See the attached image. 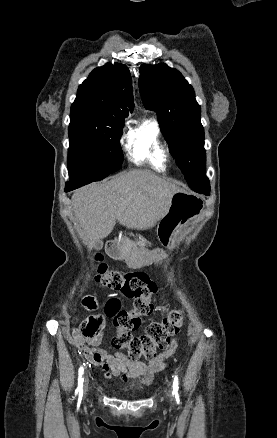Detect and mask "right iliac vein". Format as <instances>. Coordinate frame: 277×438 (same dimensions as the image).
<instances>
[{
    "label": "right iliac vein",
    "instance_id": "1",
    "mask_svg": "<svg viewBox=\"0 0 277 438\" xmlns=\"http://www.w3.org/2000/svg\"><path fill=\"white\" fill-rule=\"evenodd\" d=\"M87 388H88V377L86 376L85 382H84V393H86Z\"/></svg>",
    "mask_w": 277,
    "mask_h": 438
}]
</instances>
